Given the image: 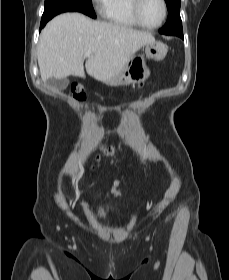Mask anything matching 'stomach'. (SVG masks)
<instances>
[{
  "label": "stomach",
  "mask_w": 229,
  "mask_h": 280,
  "mask_svg": "<svg viewBox=\"0 0 229 280\" xmlns=\"http://www.w3.org/2000/svg\"><path fill=\"white\" fill-rule=\"evenodd\" d=\"M143 47L146 57L155 61L164 59L167 54V47L161 42L147 43ZM149 75L150 71L146 66L145 58L133 56L118 75L103 82L109 86L118 87L144 81Z\"/></svg>",
  "instance_id": "0dacf381"
}]
</instances>
